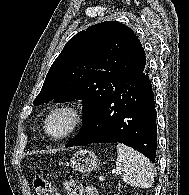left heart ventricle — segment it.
I'll return each instance as SVG.
<instances>
[{"instance_id": "obj_1", "label": "left heart ventricle", "mask_w": 189, "mask_h": 195, "mask_svg": "<svg viewBox=\"0 0 189 195\" xmlns=\"http://www.w3.org/2000/svg\"><path fill=\"white\" fill-rule=\"evenodd\" d=\"M73 116L69 111H60L53 115L48 122V130L53 136L64 134L71 126Z\"/></svg>"}]
</instances>
